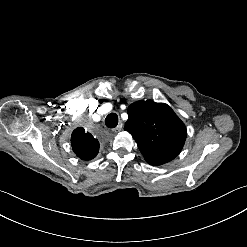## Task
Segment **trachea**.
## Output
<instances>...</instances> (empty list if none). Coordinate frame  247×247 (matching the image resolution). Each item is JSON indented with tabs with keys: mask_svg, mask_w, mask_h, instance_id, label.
<instances>
[{
	"mask_svg": "<svg viewBox=\"0 0 247 247\" xmlns=\"http://www.w3.org/2000/svg\"><path fill=\"white\" fill-rule=\"evenodd\" d=\"M105 124L109 128H114L118 124V116L116 113H110L105 120Z\"/></svg>",
	"mask_w": 247,
	"mask_h": 247,
	"instance_id": "obj_1",
	"label": "trachea"
}]
</instances>
